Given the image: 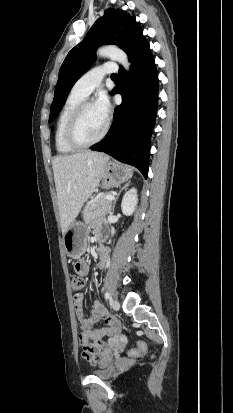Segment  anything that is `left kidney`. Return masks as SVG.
I'll return each mask as SVG.
<instances>
[{
    "instance_id": "5707ae66",
    "label": "left kidney",
    "mask_w": 233,
    "mask_h": 413,
    "mask_svg": "<svg viewBox=\"0 0 233 413\" xmlns=\"http://www.w3.org/2000/svg\"><path fill=\"white\" fill-rule=\"evenodd\" d=\"M137 190L135 188L130 189L125 193L121 202V209L124 215L130 216L133 214L137 205Z\"/></svg>"
}]
</instances>
